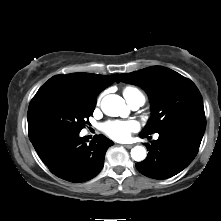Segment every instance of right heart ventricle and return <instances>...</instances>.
<instances>
[{"instance_id": "right-heart-ventricle-1", "label": "right heart ventricle", "mask_w": 221, "mask_h": 221, "mask_svg": "<svg viewBox=\"0 0 221 221\" xmlns=\"http://www.w3.org/2000/svg\"><path fill=\"white\" fill-rule=\"evenodd\" d=\"M123 95L126 98V100H131L135 97H142L144 99L143 94L137 88L131 86L126 87L123 90Z\"/></svg>"}]
</instances>
